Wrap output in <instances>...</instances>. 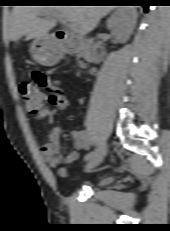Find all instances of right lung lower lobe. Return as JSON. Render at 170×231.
<instances>
[{"instance_id": "98d812e1", "label": "right lung lower lobe", "mask_w": 170, "mask_h": 231, "mask_svg": "<svg viewBox=\"0 0 170 231\" xmlns=\"http://www.w3.org/2000/svg\"><path fill=\"white\" fill-rule=\"evenodd\" d=\"M141 2H143V3L137 4V5L143 6V7H144V10L147 12L149 6L145 3L146 1H141Z\"/></svg>"}]
</instances>
